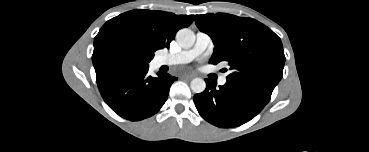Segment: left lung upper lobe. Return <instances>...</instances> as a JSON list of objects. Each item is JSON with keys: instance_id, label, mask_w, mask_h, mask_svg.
Here are the masks:
<instances>
[{"instance_id": "obj_1", "label": "left lung upper lobe", "mask_w": 369, "mask_h": 152, "mask_svg": "<svg viewBox=\"0 0 369 152\" xmlns=\"http://www.w3.org/2000/svg\"><path fill=\"white\" fill-rule=\"evenodd\" d=\"M195 23L215 45L210 63L227 61V80L272 88L283 75L285 55L280 38L267 26L226 13L196 15Z\"/></svg>"}]
</instances>
